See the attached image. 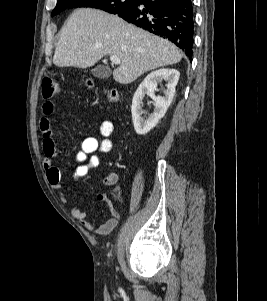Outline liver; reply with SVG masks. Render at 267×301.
<instances>
[{"instance_id":"liver-1","label":"liver","mask_w":267,"mask_h":301,"mask_svg":"<svg viewBox=\"0 0 267 301\" xmlns=\"http://www.w3.org/2000/svg\"><path fill=\"white\" fill-rule=\"evenodd\" d=\"M106 55L119 58L113 78L121 84L132 83L147 71L182 59L175 45L117 15L92 8L75 10L62 28L54 65L87 68Z\"/></svg>"}]
</instances>
